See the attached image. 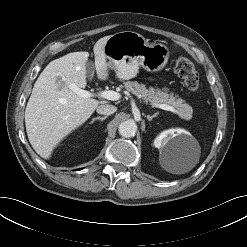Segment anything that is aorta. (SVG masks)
I'll return each instance as SVG.
<instances>
[{"label":"aorta","instance_id":"762f6f07","mask_svg":"<svg viewBox=\"0 0 247 247\" xmlns=\"http://www.w3.org/2000/svg\"><path fill=\"white\" fill-rule=\"evenodd\" d=\"M118 131L121 136L129 138L135 135L137 125L133 120L123 121L120 123Z\"/></svg>","mask_w":247,"mask_h":247}]
</instances>
